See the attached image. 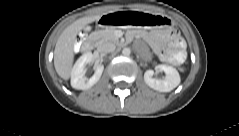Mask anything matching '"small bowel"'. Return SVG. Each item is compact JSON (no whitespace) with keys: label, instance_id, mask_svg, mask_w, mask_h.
Here are the masks:
<instances>
[{"label":"small bowel","instance_id":"1","mask_svg":"<svg viewBox=\"0 0 239 136\" xmlns=\"http://www.w3.org/2000/svg\"><path fill=\"white\" fill-rule=\"evenodd\" d=\"M169 36L171 39H173L174 51L172 53L161 51L160 57L164 62L167 63H181L185 58L184 41L178 36L176 32H170ZM138 47H140V45H138Z\"/></svg>","mask_w":239,"mask_h":136}]
</instances>
